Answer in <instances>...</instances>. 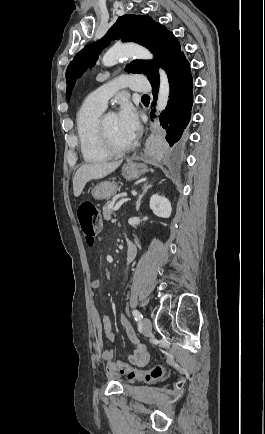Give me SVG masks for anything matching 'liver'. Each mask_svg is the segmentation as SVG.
Returning <instances> with one entry per match:
<instances>
[{
	"mask_svg": "<svg viewBox=\"0 0 265 434\" xmlns=\"http://www.w3.org/2000/svg\"><path fill=\"white\" fill-rule=\"evenodd\" d=\"M122 162H96V164H84L79 170H77L73 178V192L75 198H78L83 192L87 182L90 180H100L105 178L108 174L115 172L116 168L120 166Z\"/></svg>",
	"mask_w": 265,
	"mask_h": 434,
	"instance_id": "liver-1",
	"label": "liver"
}]
</instances>
